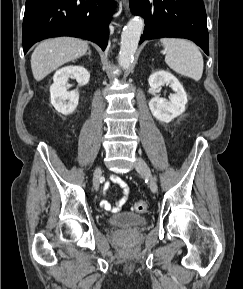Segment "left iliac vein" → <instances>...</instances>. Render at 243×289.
<instances>
[{
  "label": "left iliac vein",
  "mask_w": 243,
  "mask_h": 289,
  "mask_svg": "<svg viewBox=\"0 0 243 289\" xmlns=\"http://www.w3.org/2000/svg\"><path fill=\"white\" fill-rule=\"evenodd\" d=\"M135 168L142 176L147 178L151 191L156 193L158 191V186L146 162L142 158H137L135 162Z\"/></svg>",
  "instance_id": "4c4485c4"
}]
</instances>
